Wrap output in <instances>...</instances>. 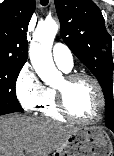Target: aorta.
<instances>
[{
    "mask_svg": "<svg viewBox=\"0 0 114 156\" xmlns=\"http://www.w3.org/2000/svg\"><path fill=\"white\" fill-rule=\"evenodd\" d=\"M57 31L58 24L54 20L38 25L29 50L34 70L47 85L54 84L61 77V73L54 65L51 53Z\"/></svg>",
    "mask_w": 114,
    "mask_h": 156,
    "instance_id": "762f6f07",
    "label": "aorta"
}]
</instances>
